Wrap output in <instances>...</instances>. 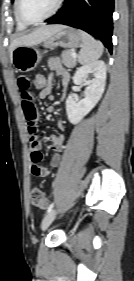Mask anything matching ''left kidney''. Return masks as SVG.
I'll return each instance as SVG.
<instances>
[{
    "instance_id": "left-kidney-1",
    "label": "left kidney",
    "mask_w": 134,
    "mask_h": 281,
    "mask_svg": "<svg viewBox=\"0 0 134 281\" xmlns=\"http://www.w3.org/2000/svg\"><path fill=\"white\" fill-rule=\"evenodd\" d=\"M92 74L94 78L86 81ZM75 85L86 86L85 97L78 101L73 94L66 99V112L70 123H79L99 102L105 89L106 65L104 61H95L77 69L74 74Z\"/></svg>"
}]
</instances>
